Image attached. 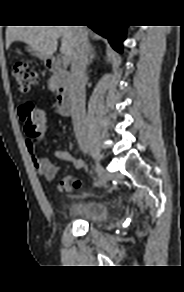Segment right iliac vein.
<instances>
[{
    "mask_svg": "<svg viewBox=\"0 0 184 292\" xmlns=\"http://www.w3.org/2000/svg\"><path fill=\"white\" fill-rule=\"evenodd\" d=\"M96 169L98 172V179H100V182H97L96 186L102 187L109 180L110 175L100 164L96 165Z\"/></svg>",
    "mask_w": 184,
    "mask_h": 292,
    "instance_id": "right-iliac-vein-1",
    "label": "right iliac vein"
}]
</instances>
